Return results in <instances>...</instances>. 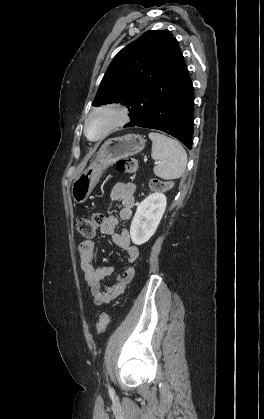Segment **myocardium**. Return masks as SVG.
Listing matches in <instances>:
<instances>
[{
    "label": "myocardium",
    "instance_id": "1",
    "mask_svg": "<svg viewBox=\"0 0 264 419\" xmlns=\"http://www.w3.org/2000/svg\"><path fill=\"white\" fill-rule=\"evenodd\" d=\"M98 115H105L109 118V121L102 131V133L96 138H90L88 135L89 122ZM129 121V110L120 102H109L95 107L86 117L84 121L83 131L85 137L91 142H98L105 139L112 132L123 127Z\"/></svg>",
    "mask_w": 264,
    "mask_h": 419
}]
</instances>
